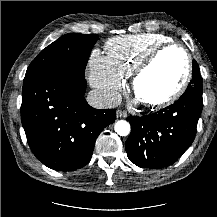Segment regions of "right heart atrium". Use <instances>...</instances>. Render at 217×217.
I'll use <instances>...</instances> for the list:
<instances>
[{"mask_svg": "<svg viewBox=\"0 0 217 217\" xmlns=\"http://www.w3.org/2000/svg\"><path fill=\"white\" fill-rule=\"evenodd\" d=\"M89 81L105 103L117 101L124 81L115 73L99 50H94L89 58Z\"/></svg>", "mask_w": 217, "mask_h": 217, "instance_id": "right-heart-atrium-1", "label": "right heart atrium"}]
</instances>
